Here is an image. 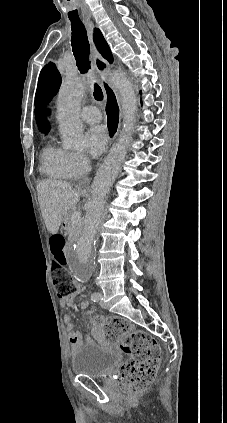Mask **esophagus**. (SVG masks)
I'll list each match as a JSON object with an SVG mask.
<instances>
[{
	"label": "esophagus",
	"mask_w": 227,
	"mask_h": 423,
	"mask_svg": "<svg viewBox=\"0 0 227 423\" xmlns=\"http://www.w3.org/2000/svg\"><path fill=\"white\" fill-rule=\"evenodd\" d=\"M86 26L88 30L89 39L91 42V51L94 61V66L96 68V71L98 73V76L101 81L102 88L105 93V113H106V124L108 125L109 129V135L108 140H113V136L116 135L117 125L120 124L121 119V107L119 102V97L116 93V90L111 85L108 79V75L110 72V64L100 55L98 50L96 49L94 42H93V30H94V24L91 20H86ZM91 181V177L88 175H85L79 180L80 184H89Z\"/></svg>",
	"instance_id": "obj_1"
}]
</instances>
